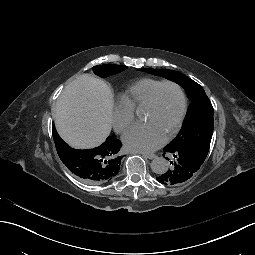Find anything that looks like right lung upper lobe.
I'll return each instance as SVG.
<instances>
[{"label": "right lung upper lobe", "instance_id": "cb5924a9", "mask_svg": "<svg viewBox=\"0 0 255 255\" xmlns=\"http://www.w3.org/2000/svg\"><path fill=\"white\" fill-rule=\"evenodd\" d=\"M53 139L57 153L65 166L81 181L87 184H104L114 179L119 172L121 163L120 148L121 142L114 136H110L99 147L86 149L89 153L97 152L100 154V175L97 177H86L83 175V166L79 160V153L83 150H76L69 147L58 135L53 125Z\"/></svg>", "mask_w": 255, "mask_h": 255}]
</instances>
